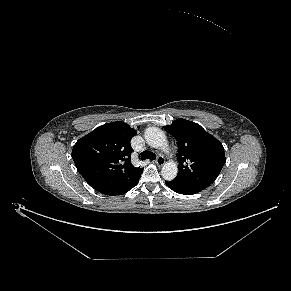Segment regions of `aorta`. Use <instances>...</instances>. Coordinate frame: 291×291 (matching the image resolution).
<instances>
[{
	"label": "aorta",
	"mask_w": 291,
	"mask_h": 291,
	"mask_svg": "<svg viewBox=\"0 0 291 291\" xmlns=\"http://www.w3.org/2000/svg\"><path fill=\"white\" fill-rule=\"evenodd\" d=\"M144 138L147 144L153 148H159L164 151L168 150V141L162 130L157 127H148L144 132ZM178 173L177 165L174 161L167 162L163 165L161 174L162 177L171 181L176 178Z\"/></svg>",
	"instance_id": "1"
}]
</instances>
